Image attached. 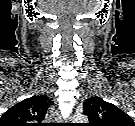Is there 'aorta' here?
Here are the masks:
<instances>
[{
  "label": "aorta",
  "mask_w": 135,
  "mask_h": 126,
  "mask_svg": "<svg viewBox=\"0 0 135 126\" xmlns=\"http://www.w3.org/2000/svg\"><path fill=\"white\" fill-rule=\"evenodd\" d=\"M73 121L84 123L85 121H87V118L85 115H75L73 117Z\"/></svg>",
  "instance_id": "aorta-1"
}]
</instances>
